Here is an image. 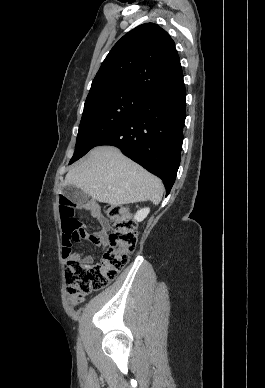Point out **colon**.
Listing matches in <instances>:
<instances>
[{"label":"colon","mask_w":265,"mask_h":388,"mask_svg":"<svg viewBox=\"0 0 265 388\" xmlns=\"http://www.w3.org/2000/svg\"><path fill=\"white\" fill-rule=\"evenodd\" d=\"M62 221V256L65 262L66 291L73 303H79L92 291L105 288L126 266L137 244L135 224L125 206L107 205L105 213L112 222L109 247L97 264H85L72 254V244L88 234L74 217L73 203L65 196L59 201Z\"/></svg>","instance_id":"obj_1"}]
</instances>
